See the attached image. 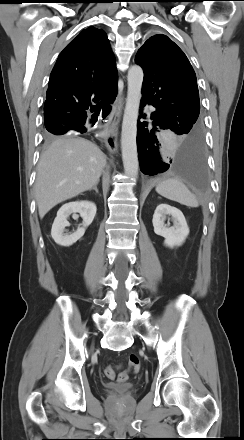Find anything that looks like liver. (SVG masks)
I'll return each instance as SVG.
<instances>
[{"instance_id": "obj_1", "label": "liver", "mask_w": 244, "mask_h": 440, "mask_svg": "<svg viewBox=\"0 0 244 440\" xmlns=\"http://www.w3.org/2000/svg\"><path fill=\"white\" fill-rule=\"evenodd\" d=\"M105 166L106 156L92 142L73 136L56 138L37 166L35 199L40 218L57 204L92 189Z\"/></svg>"}]
</instances>
